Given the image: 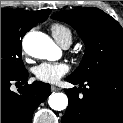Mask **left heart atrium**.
I'll list each match as a JSON object with an SVG mask.
<instances>
[{
  "label": "left heart atrium",
  "instance_id": "39dd6f15",
  "mask_svg": "<svg viewBox=\"0 0 123 123\" xmlns=\"http://www.w3.org/2000/svg\"><path fill=\"white\" fill-rule=\"evenodd\" d=\"M69 71L66 63L43 62L34 68L36 79L45 83H57Z\"/></svg>",
  "mask_w": 123,
  "mask_h": 123
}]
</instances>
